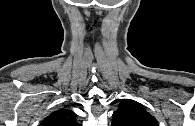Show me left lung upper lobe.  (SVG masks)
Returning a JSON list of instances; mask_svg holds the SVG:
<instances>
[{"label": "left lung upper lobe", "mask_w": 195, "mask_h": 126, "mask_svg": "<svg viewBox=\"0 0 195 126\" xmlns=\"http://www.w3.org/2000/svg\"><path fill=\"white\" fill-rule=\"evenodd\" d=\"M111 126H159L157 120L142 105L132 100H122L113 113Z\"/></svg>", "instance_id": "1"}]
</instances>
